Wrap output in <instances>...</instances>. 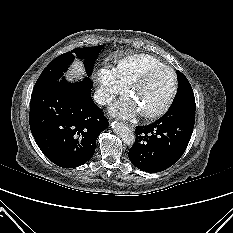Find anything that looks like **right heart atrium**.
Returning <instances> with one entry per match:
<instances>
[{
  "label": "right heart atrium",
  "instance_id": "obj_1",
  "mask_svg": "<svg viewBox=\"0 0 233 233\" xmlns=\"http://www.w3.org/2000/svg\"><path fill=\"white\" fill-rule=\"evenodd\" d=\"M98 82V99L102 104H107L113 98L123 93L127 86L121 80L117 70L112 67H102L96 76Z\"/></svg>",
  "mask_w": 233,
  "mask_h": 233
}]
</instances>
